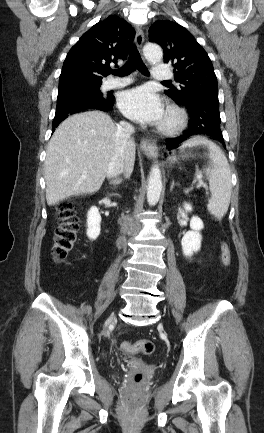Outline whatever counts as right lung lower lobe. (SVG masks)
<instances>
[{"instance_id": "98d812e1", "label": "right lung lower lobe", "mask_w": 264, "mask_h": 433, "mask_svg": "<svg viewBox=\"0 0 264 433\" xmlns=\"http://www.w3.org/2000/svg\"><path fill=\"white\" fill-rule=\"evenodd\" d=\"M114 96L108 95H94L88 93H74L70 95L67 100H64L60 104L59 110L56 111L53 124L52 132L55 128L69 115L79 113L88 109H97L101 111H111L113 109Z\"/></svg>"}]
</instances>
